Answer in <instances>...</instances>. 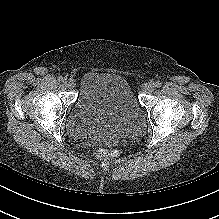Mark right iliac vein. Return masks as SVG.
Instances as JSON below:
<instances>
[{
	"mask_svg": "<svg viewBox=\"0 0 219 219\" xmlns=\"http://www.w3.org/2000/svg\"><path fill=\"white\" fill-rule=\"evenodd\" d=\"M64 85L68 88L73 89L76 87V81L74 79L65 80Z\"/></svg>",
	"mask_w": 219,
	"mask_h": 219,
	"instance_id": "63e3f726",
	"label": "right iliac vein"
}]
</instances>
